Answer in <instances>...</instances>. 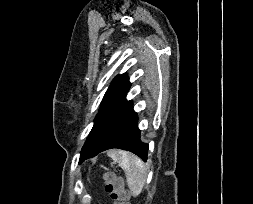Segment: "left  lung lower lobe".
<instances>
[{"label": "left lung lower lobe", "mask_w": 253, "mask_h": 204, "mask_svg": "<svg viewBox=\"0 0 253 204\" xmlns=\"http://www.w3.org/2000/svg\"><path fill=\"white\" fill-rule=\"evenodd\" d=\"M137 121L132 102L126 99L97 115L81 150L79 163L112 148L131 151L146 162L148 145L140 141Z\"/></svg>", "instance_id": "0a47b994"}]
</instances>
